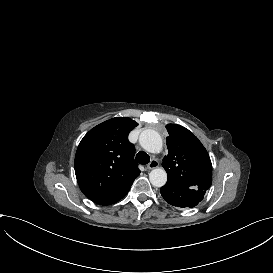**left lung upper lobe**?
<instances>
[{
    "instance_id": "left-lung-upper-lobe-1",
    "label": "left lung upper lobe",
    "mask_w": 273,
    "mask_h": 273,
    "mask_svg": "<svg viewBox=\"0 0 273 273\" xmlns=\"http://www.w3.org/2000/svg\"><path fill=\"white\" fill-rule=\"evenodd\" d=\"M168 155L163 159L169 185L206 191L212 183V164L208 152L188 129L168 124Z\"/></svg>"
}]
</instances>
